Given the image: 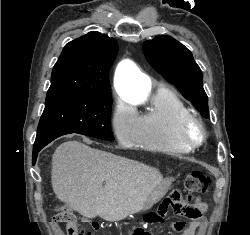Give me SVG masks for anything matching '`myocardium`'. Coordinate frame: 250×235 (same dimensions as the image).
Segmentation results:
<instances>
[{"instance_id":"myocardium-1","label":"myocardium","mask_w":250,"mask_h":235,"mask_svg":"<svg viewBox=\"0 0 250 235\" xmlns=\"http://www.w3.org/2000/svg\"><path fill=\"white\" fill-rule=\"evenodd\" d=\"M193 127L199 130V136L196 139L191 135V129ZM176 135L180 143L189 150L199 148L205 143L207 138V132L203 121L193 114H189L179 121Z\"/></svg>"}]
</instances>
